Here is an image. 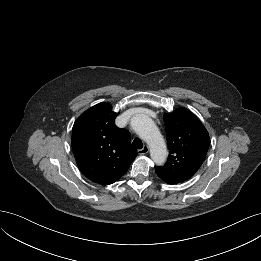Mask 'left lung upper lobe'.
Listing matches in <instances>:
<instances>
[{
  "instance_id": "1",
  "label": "left lung upper lobe",
  "mask_w": 261,
  "mask_h": 261,
  "mask_svg": "<svg viewBox=\"0 0 261 261\" xmlns=\"http://www.w3.org/2000/svg\"><path fill=\"white\" fill-rule=\"evenodd\" d=\"M169 157L164 166L155 167L157 175L172 183L190 179L202 165L210 144L209 134L189 110L178 108L164 115Z\"/></svg>"
}]
</instances>
